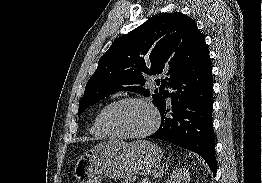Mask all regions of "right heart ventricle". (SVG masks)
I'll return each instance as SVG.
<instances>
[{
	"label": "right heart ventricle",
	"instance_id": "1",
	"mask_svg": "<svg viewBox=\"0 0 262 183\" xmlns=\"http://www.w3.org/2000/svg\"><path fill=\"white\" fill-rule=\"evenodd\" d=\"M105 107V106H104ZM104 107H102L97 114L95 115L92 125L90 127V133L92 136H94L97 139H107L110 136L102 129L101 124H100V116H101V112L104 109Z\"/></svg>",
	"mask_w": 262,
	"mask_h": 183
}]
</instances>
